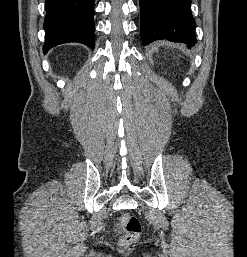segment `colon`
<instances>
[{"label": "colon", "mask_w": 247, "mask_h": 257, "mask_svg": "<svg viewBox=\"0 0 247 257\" xmlns=\"http://www.w3.org/2000/svg\"><path fill=\"white\" fill-rule=\"evenodd\" d=\"M120 224L124 230V234L119 241L121 247H128L140 238L142 224L138 217L124 213L120 218Z\"/></svg>", "instance_id": "1"}]
</instances>
